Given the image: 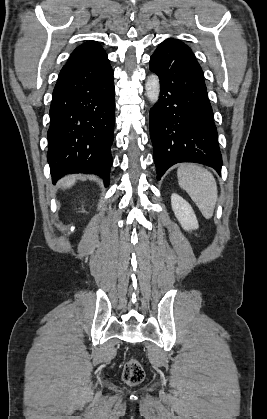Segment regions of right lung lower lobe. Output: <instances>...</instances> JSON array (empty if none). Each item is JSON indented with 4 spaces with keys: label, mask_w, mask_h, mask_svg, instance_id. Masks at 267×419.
Listing matches in <instances>:
<instances>
[{
    "label": "right lung lower lobe",
    "mask_w": 267,
    "mask_h": 419,
    "mask_svg": "<svg viewBox=\"0 0 267 419\" xmlns=\"http://www.w3.org/2000/svg\"><path fill=\"white\" fill-rule=\"evenodd\" d=\"M114 114L109 61L63 66L53 91L47 133L53 183L68 173H88L109 185Z\"/></svg>",
    "instance_id": "1"
}]
</instances>
